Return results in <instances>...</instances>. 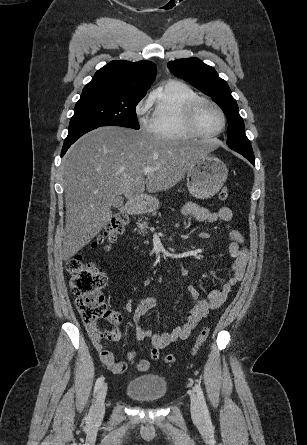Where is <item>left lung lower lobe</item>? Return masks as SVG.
Segmentation results:
<instances>
[{
  "label": "left lung lower lobe",
  "mask_w": 307,
  "mask_h": 445,
  "mask_svg": "<svg viewBox=\"0 0 307 445\" xmlns=\"http://www.w3.org/2000/svg\"><path fill=\"white\" fill-rule=\"evenodd\" d=\"M241 155H243L245 158H247L254 166H255V160H254V154L253 152H243V151H237Z\"/></svg>",
  "instance_id": "left-lung-lower-lobe-1"
}]
</instances>
